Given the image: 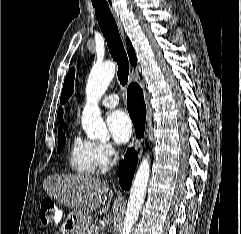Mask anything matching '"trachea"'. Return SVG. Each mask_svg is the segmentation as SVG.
I'll use <instances>...</instances> for the list:
<instances>
[{
    "label": "trachea",
    "mask_w": 241,
    "mask_h": 234,
    "mask_svg": "<svg viewBox=\"0 0 241 234\" xmlns=\"http://www.w3.org/2000/svg\"><path fill=\"white\" fill-rule=\"evenodd\" d=\"M92 2L109 52L118 65V79L124 86L128 81L129 64L115 19L106 0H92Z\"/></svg>",
    "instance_id": "obj_1"
}]
</instances>
